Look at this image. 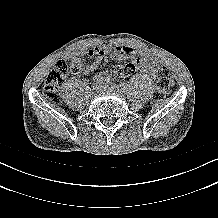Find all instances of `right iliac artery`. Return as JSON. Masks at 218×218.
I'll return each instance as SVG.
<instances>
[{
  "instance_id": "right-iliac-artery-1",
  "label": "right iliac artery",
  "mask_w": 218,
  "mask_h": 218,
  "mask_svg": "<svg viewBox=\"0 0 218 218\" xmlns=\"http://www.w3.org/2000/svg\"><path fill=\"white\" fill-rule=\"evenodd\" d=\"M95 83L93 84V85H101L102 83H103V81H104V79L103 78H95Z\"/></svg>"
}]
</instances>
